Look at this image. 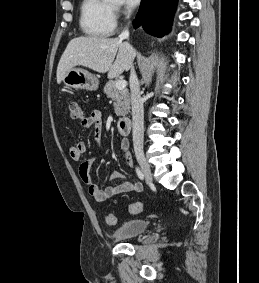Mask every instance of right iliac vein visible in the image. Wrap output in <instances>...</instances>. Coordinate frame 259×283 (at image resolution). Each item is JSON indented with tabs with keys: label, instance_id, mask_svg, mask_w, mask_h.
<instances>
[{
	"label": "right iliac vein",
	"instance_id": "1",
	"mask_svg": "<svg viewBox=\"0 0 259 283\" xmlns=\"http://www.w3.org/2000/svg\"><path fill=\"white\" fill-rule=\"evenodd\" d=\"M136 158L138 163L140 164L147 180L151 183L152 182V173L149 163L147 162L144 154L140 151L136 152Z\"/></svg>",
	"mask_w": 259,
	"mask_h": 283
}]
</instances>
